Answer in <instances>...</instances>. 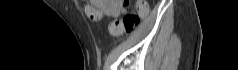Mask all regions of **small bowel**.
<instances>
[{"mask_svg":"<svg viewBox=\"0 0 238 70\" xmlns=\"http://www.w3.org/2000/svg\"><path fill=\"white\" fill-rule=\"evenodd\" d=\"M124 11V2L122 0H91L85 6L87 17L93 21L100 20L104 15L119 17ZM91 12H95L96 16L92 17Z\"/></svg>","mask_w":238,"mask_h":70,"instance_id":"c3829d8e","label":"small bowel"}]
</instances>
